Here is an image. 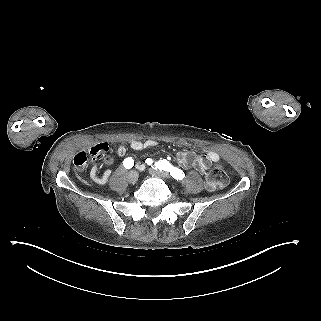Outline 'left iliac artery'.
Masks as SVG:
<instances>
[{
    "instance_id": "1",
    "label": "left iliac artery",
    "mask_w": 321,
    "mask_h": 321,
    "mask_svg": "<svg viewBox=\"0 0 321 321\" xmlns=\"http://www.w3.org/2000/svg\"><path fill=\"white\" fill-rule=\"evenodd\" d=\"M147 165H153V160L150 158H147L146 160ZM154 168L159 169L160 171H168L170 172V175L175 178L176 180H181L184 178L185 174L182 170L179 168H176L172 166L168 161L161 160L154 163Z\"/></svg>"
}]
</instances>
